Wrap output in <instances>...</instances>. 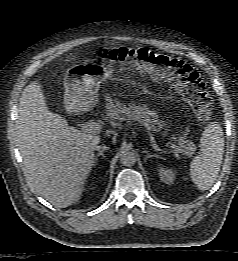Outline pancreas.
<instances>
[{
  "label": "pancreas",
  "mask_w": 238,
  "mask_h": 261,
  "mask_svg": "<svg viewBox=\"0 0 238 261\" xmlns=\"http://www.w3.org/2000/svg\"><path fill=\"white\" fill-rule=\"evenodd\" d=\"M106 114L112 120L118 121H137L139 124L145 126L148 130H155L156 120L153 115L142 107L138 106H126L119 102L109 98L105 105ZM180 148L183 149L187 155H192L196 146L193 142L185 140V137L181 136L177 140Z\"/></svg>",
  "instance_id": "1"
}]
</instances>
